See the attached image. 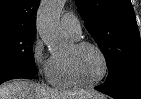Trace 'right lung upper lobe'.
<instances>
[{"mask_svg":"<svg viewBox=\"0 0 141 99\" xmlns=\"http://www.w3.org/2000/svg\"><path fill=\"white\" fill-rule=\"evenodd\" d=\"M40 0H0V29L36 31V12Z\"/></svg>","mask_w":141,"mask_h":99,"instance_id":"right-lung-upper-lobe-1","label":"right lung upper lobe"}]
</instances>
